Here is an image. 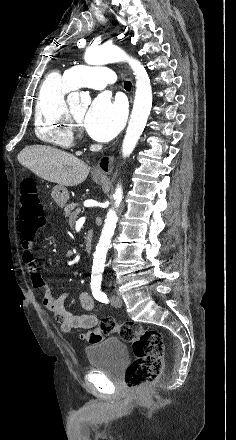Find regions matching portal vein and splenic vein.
I'll return each mask as SVG.
<instances>
[{
    "label": "portal vein and splenic vein",
    "mask_w": 236,
    "mask_h": 440,
    "mask_svg": "<svg viewBox=\"0 0 236 440\" xmlns=\"http://www.w3.org/2000/svg\"><path fill=\"white\" fill-rule=\"evenodd\" d=\"M80 211H81V209L77 208L75 212H76V214H78V213H80Z\"/></svg>",
    "instance_id": "portal-vein-and-splenic-vein-1"
}]
</instances>
